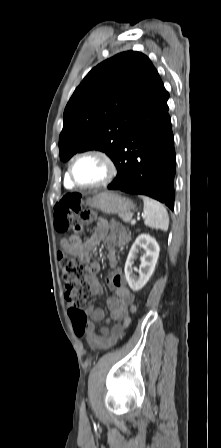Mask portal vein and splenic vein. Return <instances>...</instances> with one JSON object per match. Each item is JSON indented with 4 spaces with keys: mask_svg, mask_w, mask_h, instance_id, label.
Here are the masks:
<instances>
[{
    "mask_svg": "<svg viewBox=\"0 0 221 448\" xmlns=\"http://www.w3.org/2000/svg\"><path fill=\"white\" fill-rule=\"evenodd\" d=\"M136 224V220L135 219H132L131 220V225H135Z\"/></svg>",
    "mask_w": 221,
    "mask_h": 448,
    "instance_id": "18ae733b",
    "label": "portal vein and splenic vein"
}]
</instances>
